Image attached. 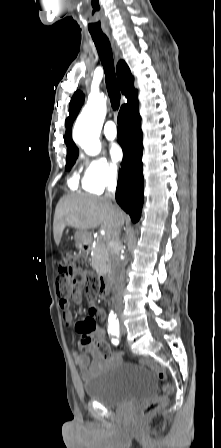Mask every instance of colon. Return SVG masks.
<instances>
[{
  "mask_svg": "<svg viewBox=\"0 0 221 448\" xmlns=\"http://www.w3.org/2000/svg\"><path fill=\"white\" fill-rule=\"evenodd\" d=\"M78 268L79 259L75 251L71 248L64 249L61 253L57 274V284L61 291L68 289L71 284V280L74 277H77ZM95 291V282L94 280H91L87 289V296L90 300L94 298ZM83 327L87 331H92L94 329V323L90 321ZM140 363L148 367L157 375V377L163 382L162 390L165 392L159 398L147 403L140 409L138 417L140 420L145 421L167 403L168 394L171 392V385L166 381L167 375L165 370L158 363L151 359H142Z\"/></svg>",
  "mask_w": 221,
  "mask_h": 448,
  "instance_id": "1",
  "label": "colon"
}]
</instances>
